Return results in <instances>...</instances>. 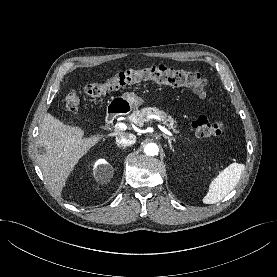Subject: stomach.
I'll list each match as a JSON object with an SVG mask.
<instances>
[{"mask_svg":"<svg viewBox=\"0 0 277 277\" xmlns=\"http://www.w3.org/2000/svg\"><path fill=\"white\" fill-rule=\"evenodd\" d=\"M143 103V98L138 96L136 93L127 92L120 97L112 98L109 102V107L113 108L117 112L127 114L130 111L137 109Z\"/></svg>","mask_w":277,"mask_h":277,"instance_id":"obj_1","label":"stomach"}]
</instances>
